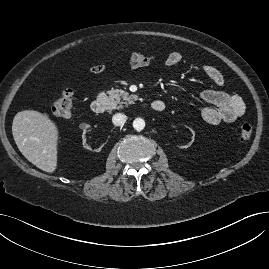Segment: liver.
Masks as SVG:
<instances>
[{
    "label": "liver",
    "instance_id": "obj_1",
    "mask_svg": "<svg viewBox=\"0 0 269 269\" xmlns=\"http://www.w3.org/2000/svg\"><path fill=\"white\" fill-rule=\"evenodd\" d=\"M12 134L29 162L48 173L56 170L59 131L48 115L36 110L18 112L13 119Z\"/></svg>",
    "mask_w": 269,
    "mask_h": 269
}]
</instances>
